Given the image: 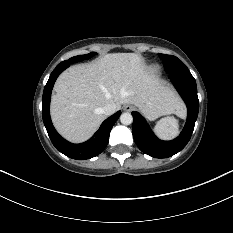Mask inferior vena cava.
Listing matches in <instances>:
<instances>
[{
	"label": "inferior vena cava",
	"mask_w": 233,
	"mask_h": 233,
	"mask_svg": "<svg viewBox=\"0 0 233 233\" xmlns=\"http://www.w3.org/2000/svg\"><path fill=\"white\" fill-rule=\"evenodd\" d=\"M116 110L117 109L115 104H107L106 106L100 109L101 113L106 116L112 115L116 112Z\"/></svg>",
	"instance_id": "602c4592"
}]
</instances>
